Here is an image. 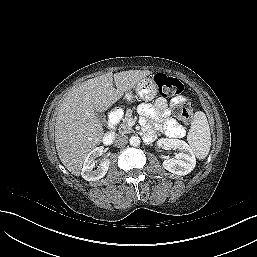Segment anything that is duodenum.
<instances>
[{
	"label": "duodenum",
	"instance_id": "duodenum-1",
	"mask_svg": "<svg viewBox=\"0 0 257 257\" xmlns=\"http://www.w3.org/2000/svg\"><path fill=\"white\" fill-rule=\"evenodd\" d=\"M119 116L117 111L110 115L109 117V130L108 132L104 135L103 137V143L105 145H110L114 142L115 137H116V125L118 123Z\"/></svg>",
	"mask_w": 257,
	"mask_h": 257
}]
</instances>
